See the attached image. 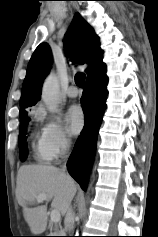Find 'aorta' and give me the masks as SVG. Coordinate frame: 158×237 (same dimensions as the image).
I'll use <instances>...</instances> for the list:
<instances>
[{"label":"aorta","instance_id":"762f6f07","mask_svg":"<svg viewBox=\"0 0 158 237\" xmlns=\"http://www.w3.org/2000/svg\"><path fill=\"white\" fill-rule=\"evenodd\" d=\"M41 98L50 111H57L59 103V83L54 73H50L45 79Z\"/></svg>","mask_w":158,"mask_h":237}]
</instances>
